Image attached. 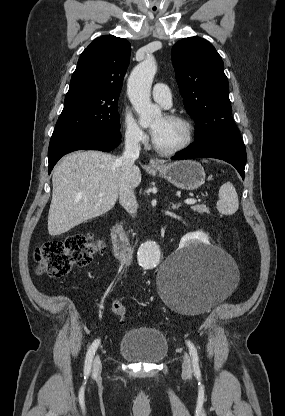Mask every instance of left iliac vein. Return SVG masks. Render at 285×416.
Wrapping results in <instances>:
<instances>
[{
  "label": "left iliac vein",
  "mask_w": 285,
  "mask_h": 416,
  "mask_svg": "<svg viewBox=\"0 0 285 416\" xmlns=\"http://www.w3.org/2000/svg\"><path fill=\"white\" fill-rule=\"evenodd\" d=\"M182 370L183 373L186 376H189L192 374V369H191V358L189 357L188 354H184V358H183V363H182Z\"/></svg>",
  "instance_id": "1"
}]
</instances>
